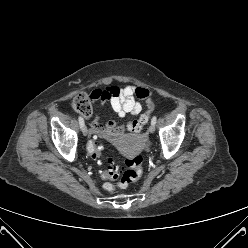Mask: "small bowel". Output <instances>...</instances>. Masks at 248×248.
I'll return each mask as SVG.
<instances>
[{
  "instance_id": "obj_1",
  "label": "small bowel",
  "mask_w": 248,
  "mask_h": 248,
  "mask_svg": "<svg viewBox=\"0 0 248 248\" xmlns=\"http://www.w3.org/2000/svg\"><path fill=\"white\" fill-rule=\"evenodd\" d=\"M108 87L106 90L99 91V98L104 102H109L113 110L120 116L137 115L142 109L151 111L154 108V103L151 101V92L140 86L126 85L124 87ZM136 98L144 101L142 104ZM125 131V127L115 121H108L102 124L100 116L96 115L91 124V133L94 136H106L117 138Z\"/></svg>"
}]
</instances>
